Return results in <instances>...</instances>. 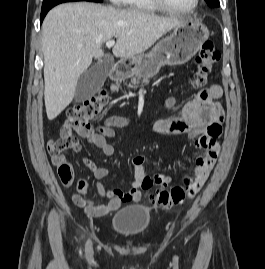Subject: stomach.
<instances>
[{"mask_svg": "<svg viewBox=\"0 0 265 269\" xmlns=\"http://www.w3.org/2000/svg\"><path fill=\"white\" fill-rule=\"evenodd\" d=\"M209 37L208 28L194 20H184L173 32L160 40L147 54L122 61L127 74L145 79L155 76L164 65H182L188 62Z\"/></svg>", "mask_w": 265, "mask_h": 269, "instance_id": "obj_1", "label": "stomach"}]
</instances>
